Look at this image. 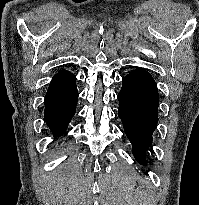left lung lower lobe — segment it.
<instances>
[{"instance_id": "0a47b994", "label": "left lung lower lobe", "mask_w": 199, "mask_h": 205, "mask_svg": "<svg viewBox=\"0 0 199 205\" xmlns=\"http://www.w3.org/2000/svg\"><path fill=\"white\" fill-rule=\"evenodd\" d=\"M118 99V115L125 134L133 145L135 158L145 164V151L152 143V133L158 122L156 83L148 72L138 68L122 79Z\"/></svg>"}]
</instances>
